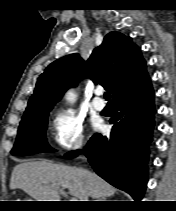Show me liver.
<instances>
[{
    "label": "liver",
    "mask_w": 176,
    "mask_h": 211,
    "mask_svg": "<svg viewBox=\"0 0 176 211\" xmlns=\"http://www.w3.org/2000/svg\"><path fill=\"white\" fill-rule=\"evenodd\" d=\"M16 188L22 189L35 201H61L60 191L64 188L78 201H85L89 196L105 199L116 192L113 186L94 172L47 160L23 162L15 166L10 189Z\"/></svg>",
    "instance_id": "1"
}]
</instances>
